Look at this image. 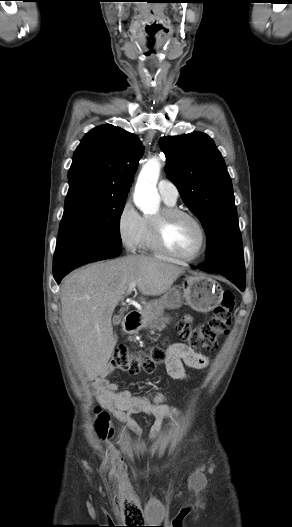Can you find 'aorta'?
I'll return each instance as SVG.
<instances>
[{"label": "aorta", "instance_id": "aorta-1", "mask_svg": "<svg viewBox=\"0 0 292 527\" xmlns=\"http://www.w3.org/2000/svg\"><path fill=\"white\" fill-rule=\"evenodd\" d=\"M161 162L158 157L150 158L142 167L134 192V203L144 213H152L158 209L160 196L157 182L160 175Z\"/></svg>", "mask_w": 292, "mask_h": 527}]
</instances>
